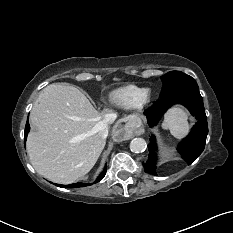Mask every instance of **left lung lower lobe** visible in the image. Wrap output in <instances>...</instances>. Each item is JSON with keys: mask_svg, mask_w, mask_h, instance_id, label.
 I'll use <instances>...</instances> for the list:
<instances>
[{"mask_svg": "<svg viewBox=\"0 0 233 233\" xmlns=\"http://www.w3.org/2000/svg\"><path fill=\"white\" fill-rule=\"evenodd\" d=\"M174 104H182L197 119L190 134L179 144L177 150L181 157L190 165L202 153L205 147L208 134L207 117L205 114L202 96L198 86L183 87L171 92L161 100L145 111L147 121L150 127H153L160 120L164 112ZM149 159L143 165L145 172L156 175V142L152 135L151 142L148 145Z\"/></svg>", "mask_w": 233, "mask_h": 233, "instance_id": "obj_1", "label": "left lung lower lobe"}]
</instances>
